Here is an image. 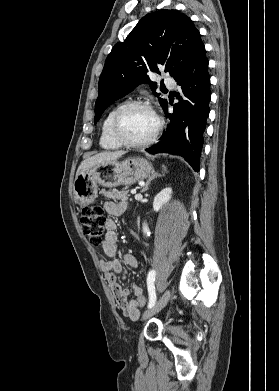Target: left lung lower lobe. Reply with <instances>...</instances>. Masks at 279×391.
Wrapping results in <instances>:
<instances>
[{"label": "left lung lower lobe", "mask_w": 279, "mask_h": 391, "mask_svg": "<svg viewBox=\"0 0 279 391\" xmlns=\"http://www.w3.org/2000/svg\"><path fill=\"white\" fill-rule=\"evenodd\" d=\"M181 88L176 93L178 103L173 113L168 103L163 110L170 124L160 142L146 149L149 153H169L182 156L195 171H199L203 134L209 116L210 76L203 46L187 70L175 79Z\"/></svg>", "instance_id": "left-lung-lower-lobe-1"}]
</instances>
